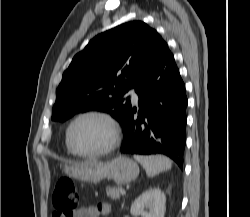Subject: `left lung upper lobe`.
Instances as JSON below:
<instances>
[{"instance_id":"1","label":"left lung upper lobe","mask_w":250,"mask_h":217,"mask_svg":"<svg viewBox=\"0 0 250 217\" xmlns=\"http://www.w3.org/2000/svg\"><path fill=\"white\" fill-rule=\"evenodd\" d=\"M162 42V37L141 21L94 37L63 73L52 120L64 122L77 113L100 110L123 124L132 107L124 95L151 67Z\"/></svg>"}]
</instances>
